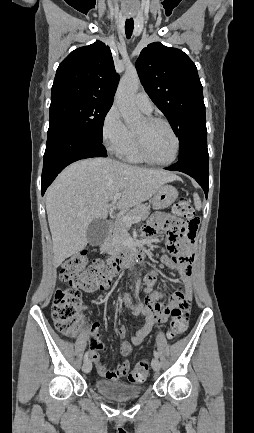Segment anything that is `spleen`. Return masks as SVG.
Returning <instances> with one entry per match:
<instances>
[{"instance_id":"3e777b00","label":"spleen","mask_w":254,"mask_h":433,"mask_svg":"<svg viewBox=\"0 0 254 433\" xmlns=\"http://www.w3.org/2000/svg\"><path fill=\"white\" fill-rule=\"evenodd\" d=\"M193 198H194V205H195V208H196L197 210H200V209L202 208V204H201V200H200L198 194H197V193H194V194H193Z\"/></svg>"}]
</instances>
